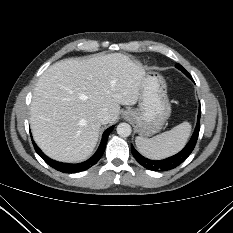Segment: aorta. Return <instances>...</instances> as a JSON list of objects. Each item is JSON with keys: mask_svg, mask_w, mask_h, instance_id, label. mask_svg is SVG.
Listing matches in <instances>:
<instances>
[{"mask_svg": "<svg viewBox=\"0 0 233 233\" xmlns=\"http://www.w3.org/2000/svg\"><path fill=\"white\" fill-rule=\"evenodd\" d=\"M116 130L117 134L121 137H128L132 132L131 126L128 123H120Z\"/></svg>", "mask_w": 233, "mask_h": 233, "instance_id": "762f6f07", "label": "aorta"}]
</instances>
